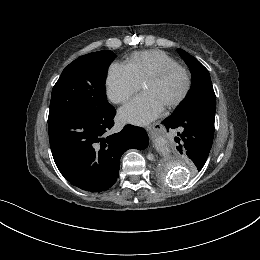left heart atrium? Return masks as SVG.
Instances as JSON below:
<instances>
[{
  "label": "left heart atrium",
  "instance_id": "left-heart-atrium-1",
  "mask_svg": "<svg viewBox=\"0 0 260 260\" xmlns=\"http://www.w3.org/2000/svg\"><path fill=\"white\" fill-rule=\"evenodd\" d=\"M164 106L149 93H144L131 100L119 111L120 118L125 122L145 124L156 118Z\"/></svg>",
  "mask_w": 260,
  "mask_h": 260
}]
</instances>
